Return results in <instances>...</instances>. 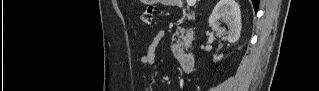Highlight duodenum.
Instances as JSON below:
<instances>
[{"mask_svg": "<svg viewBox=\"0 0 319 91\" xmlns=\"http://www.w3.org/2000/svg\"><path fill=\"white\" fill-rule=\"evenodd\" d=\"M191 18L195 19V14L191 13ZM177 60L185 72H191L195 63V54L192 51L184 52L178 55Z\"/></svg>", "mask_w": 319, "mask_h": 91, "instance_id": "obj_1", "label": "duodenum"}]
</instances>
